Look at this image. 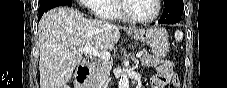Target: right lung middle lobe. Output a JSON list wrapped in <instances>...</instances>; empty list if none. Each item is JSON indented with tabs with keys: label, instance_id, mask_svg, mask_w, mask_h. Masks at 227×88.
Returning a JSON list of instances; mask_svg holds the SVG:
<instances>
[{
	"label": "right lung middle lobe",
	"instance_id": "right-lung-middle-lobe-1",
	"mask_svg": "<svg viewBox=\"0 0 227 88\" xmlns=\"http://www.w3.org/2000/svg\"><path fill=\"white\" fill-rule=\"evenodd\" d=\"M40 11H47L53 7L67 5L71 6V0H39Z\"/></svg>",
	"mask_w": 227,
	"mask_h": 88
}]
</instances>
